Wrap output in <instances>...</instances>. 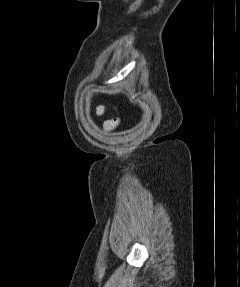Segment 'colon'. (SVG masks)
Returning <instances> with one entry per match:
<instances>
[{"label": "colon", "instance_id": "5ec220e1", "mask_svg": "<svg viewBox=\"0 0 240 287\" xmlns=\"http://www.w3.org/2000/svg\"><path fill=\"white\" fill-rule=\"evenodd\" d=\"M118 124H119V118H114L108 120L104 126L106 129H114Z\"/></svg>", "mask_w": 240, "mask_h": 287}]
</instances>
